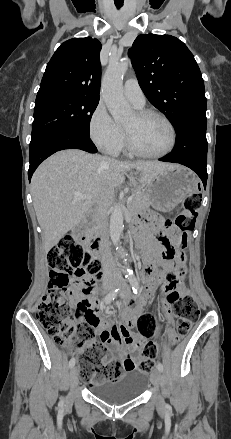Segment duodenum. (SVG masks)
Here are the masks:
<instances>
[{"mask_svg":"<svg viewBox=\"0 0 231 439\" xmlns=\"http://www.w3.org/2000/svg\"><path fill=\"white\" fill-rule=\"evenodd\" d=\"M78 232L80 231V229L77 230ZM140 241L142 244L145 243V240L143 238H140ZM89 248L92 252H94L95 254H99L100 252V236L99 235H95L93 237V239L89 242ZM148 263L147 260H145V264H144V268L143 271L144 273H148Z\"/></svg>","mask_w":231,"mask_h":439,"instance_id":"410a0bca","label":"duodenum"}]
</instances>
